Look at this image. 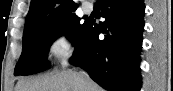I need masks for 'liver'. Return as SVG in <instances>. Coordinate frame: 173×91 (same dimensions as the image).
<instances>
[{"mask_svg": "<svg viewBox=\"0 0 173 91\" xmlns=\"http://www.w3.org/2000/svg\"><path fill=\"white\" fill-rule=\"evenodd\" d=\"M15 91H104L98 84L81 72L70 70L48 76L22 79Z\"/></svg>", "mask_w": 173, "mask_h": 91, "instance_id": "liver-1", "label": "liver"}]
</instances>
